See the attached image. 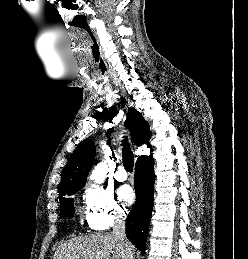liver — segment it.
I'll return each instance as SVG.
<instances>
[{
	"instance_id": "1",
	"label": "liver",
	"mask_w": 248,
	"mask_h": 259,
	"mask_svg": "<svg viewBox=\"0 0 248 259\" xmlns=\"http://www.w3.org/2000/svg\"><path fill=\"white\" fill-rule=\"evenodd\" d=\"M128 243L121 242L112 233H97L72 238L62 243L53 259H127Z\"/></svg>"
}]
</instances>
